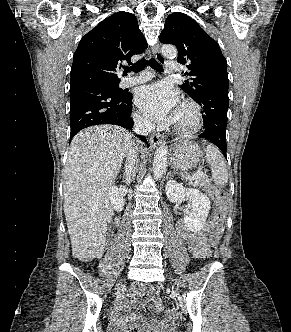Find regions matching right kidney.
Returning <instances> with one entry per match:
<instances>
[{
  "label": "right kidney",
  "mask_w": 291,
  "mask_h": 332,
  "mask_svg": "<svg viewBox=\"0 0 291 332\" xmlns=\"http://www.w3.org/2000/svg\"><path fill=\"white\" fill-rule=\"evenodd\" d=\"M109 200L111 202L112 208L116 211H121L124 208V199L117 187L112 186L110 188Z\"/></svg>",
  "instance_id": "right-kidney-1"
}]
</instances>
